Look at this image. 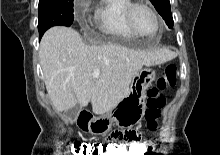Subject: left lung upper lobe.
Segmentation results:
<instances>
[{
    "label": "left lung upper lobe",
    "instance_id": "obj_1",
    "mask_svg": "<svg viewBox=\"0 0 220 155\" xmlns=\"http://www.w3.org/2000/svg\"><path fill=\"white\" fill-rule=\"evenodd\" d=\"M169 28L173 27V18L169 0H150Z\"/></svg>",
    "mask_w": 220,
    "mask_h": 155
}]
</instances>
